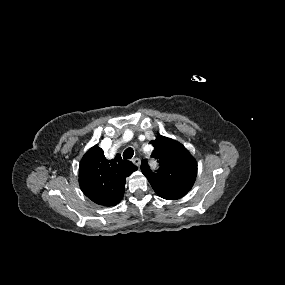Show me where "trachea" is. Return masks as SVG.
<instances>
[{
  "label": "trachea",
  "instance_id": "1",
  "mask_svg": "<svg viewBox=\"0 0 285 285\" xmlns=\"http://www.w3.org/2000/svg\"><path fill=\"white\" fill-rule=\"evenodd\" d=\"M134 155V150L132 148H127L124 152H123V158L124 159H131Z\"/></svg>",
  "mask_w": 285,
  "mask_h": 285
}]
</instances>
